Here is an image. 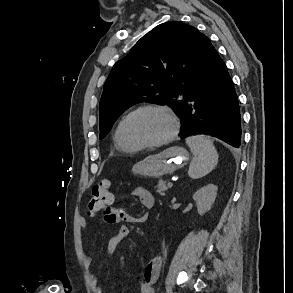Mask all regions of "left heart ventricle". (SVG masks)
Listing matches in <instances>:
<instances>
[{
    "label": "left heart ventricle",
    "mask_w": 293,
    "mask_h": 293,
    "mask_svg": "<svg viewBox=\"0 0 293 293\" xmlns=\"http://www.w3.org/2000/svg\"><path fill=\"white\" fill-rule=\"evenodd\" d=\"M171 129L169 119L157 111L137 114L130 126L131 137L139 142H155L165 137Z\"/></svg>",
    "instance_id": "obj_1"
}]
</instances>
